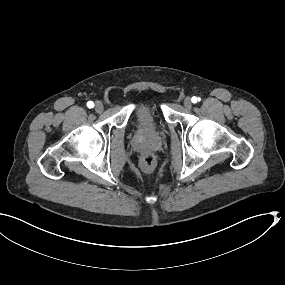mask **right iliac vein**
I'll list each match as a JSON object with an SVG mask.
<instances>
[{
	"label": "right iliac vein",
	"mask_w": 285,
	"mask_h": 285,
	"mask_svg": "<svg viewBox=\"0 0 285 285\" xmlns=\"http://www.w3.org/2000/svg\"><path fill=\"white\" fill-rule=\"evenodd\" d=\"M95 110L98 112V113H101L103 112L104 110V106L101 102H96L95 104Z\"/></svg>",
	"instance_id": "1"
}]
</instances>
